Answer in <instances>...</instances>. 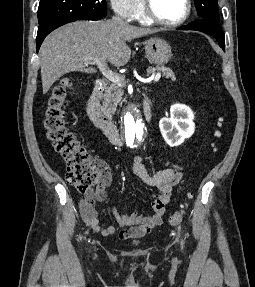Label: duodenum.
<instances>
[{"mask_svg":"<svg viewBox=\"0 0 255 287\" xmlns=\"http://www.w3.org/2000/svg\"><path fill=\"white\" fill-rule=\"evenodd\" d=\"M106 89L104 81H97L92 93L86 102V112L90 120L104 133L108 140L115 145L122 143L117 126L100 108V100ZM144 115L147 120L151 118V107L148 99L143 102Z\"/></svg>","mask_w":255,"mask_h":287,"instance_id":"1","label":"duodenum"}]
</instances>
